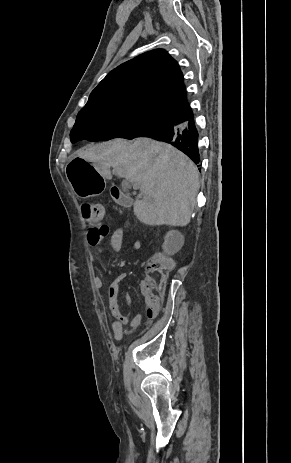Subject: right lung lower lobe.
<instances>
[{
  "label": "right lung lower lobe",
  "instance_id": "obj_1",
  "mask_svg": "<svg viewBox=\"0 0 291 463\" xmlns=\"http://www.w3.org/2000/svg\"><path fill=\"white\" fill-rule=\"evenodd\" d=\"M166 124L141 137L167 142L185 153L195 164L200 163L199 134L194 119L183 123L178 118L165 119ZM200 170V169H199Z\"/></svg>",
  "mask_w": 291,
  "mask_h": 463
}]
</instances>
